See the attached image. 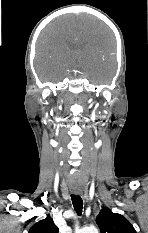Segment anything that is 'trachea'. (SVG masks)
I'll return each mask as SVG.
<instances>
[{"label":"trachea","mask_w":148,"mask_h":233,"mask_svg":"<svg viewBox=\"0 0 148 233\" xmlns=\"http://www.w3.org/2000/svg\"><path fill=\"white\" fill-rule=\"evenodd\" d=\"M73 207L78 215L82 214L83 200L79 195L71 196Z\"/></svg>","instance_id":"trachea-1"}]
</instances>
